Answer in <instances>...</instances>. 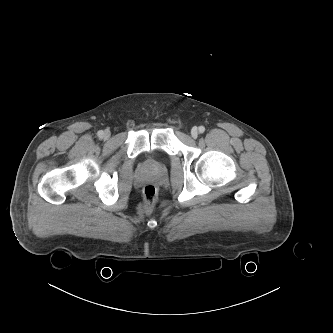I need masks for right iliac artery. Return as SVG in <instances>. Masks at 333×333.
Returning a JSON list of instances; mask_svg holds the SVG:
<instances>
[{"mask_svg":"<svg viewBox=\"0 0 333 333\" xmlns=\"http://www.w3.org/2000/svg\"><path fill=\"white\" fill-rule=\"evenodd\" d=\"M97 134H98V136H99V137H102V136H103V134H104V132H103L102 130H100V131H98V133H97Z\"/></svg>","mask_w":333,"mask_h":333,"instance_id":"obj_1","label":"right iliac artery"}]
</instances>
